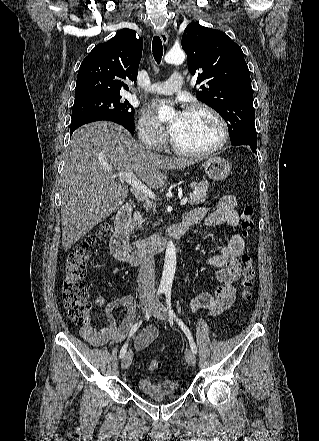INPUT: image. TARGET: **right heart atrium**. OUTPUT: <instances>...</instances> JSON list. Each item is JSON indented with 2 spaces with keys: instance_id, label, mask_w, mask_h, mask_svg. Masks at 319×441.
<instances>
[{
  "instance_id": "obj_1",
  "label": "right heart atrium",
  "mask_w": 319,
  "mask_h": 441,
  "mask_svg": "<svg viewBox=\"0 0 319 441\" xmlns=\"http://www.w3.org/2000/svg\"><path fill=\"white\" fill-rule=\"evenodd\" d=\"M137 134L141 143L153 150L165 148L168 141L165 130L147 113H142L138 118Z\"/></svg>"
}]
</instances>
